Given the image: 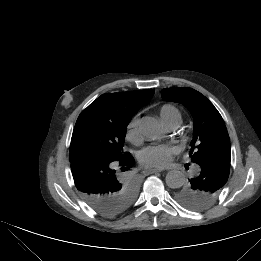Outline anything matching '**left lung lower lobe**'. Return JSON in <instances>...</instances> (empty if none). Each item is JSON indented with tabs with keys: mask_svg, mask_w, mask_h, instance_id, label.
Returning <instances> with one entry per match:
<instances>
[{
	"mask_svg": "<svg viewBox=\"0 0 261 261\" xmlns=\"http://www.w3.org/2000/svg\"><path fill=\"white\" fill-rule=\"evenodd\" d=\"M213 160L203 161L199 164L200 174L189 180L190 185L203 191L206 195L217 193L223 189L230 172V161L223 160L221 164H215Z\"/></svg>",
	"mask_w": 261,
	"mask_h": 261,
	"instance_id": "obj_1",
	"label": "left lung lower lobe"
}]
</instances>
